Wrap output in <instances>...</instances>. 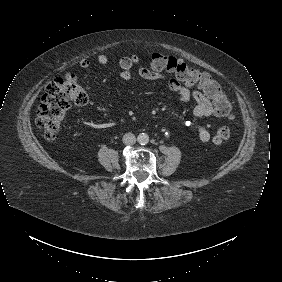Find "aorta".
<instances>
[{
    "mask_svg": "<svg viewBox=\"0 0 282 282\" xmlns=\"http://www.w3.org/2000/svg\"><path fill=\"white\" fill-rule=\"evenodd\" d=\"M137 142L140 145L148 144V142H149V135L147 133H145V132L139 133L138 136H137Z\"/></svg>",
    "mask_w": 282,
    "mask_h": 282,
    "instance_id": "762f6f07",
    "label": "aorta"
}]
</instances>
